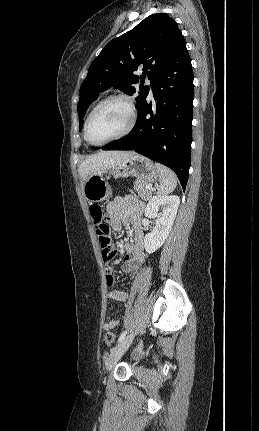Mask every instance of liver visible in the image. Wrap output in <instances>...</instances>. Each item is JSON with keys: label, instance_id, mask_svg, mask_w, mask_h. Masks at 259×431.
Here are the masks:
<instances>
[{"label": "liver", "instance_id": "6515ba94", "mask_svg": "<svg viewBox=\"0 0 259 431\" xmlns=\"http://www.w3.org/2000/svg\"><path fill=\"white\" fill-rule=\"evenodd\" d=\"M134 154L133 151H101L89 156L80 164L78 169L82 187L90 176L101 174Z\"/></svg>", "mask_w": 259, "mask_h": 431}]
</instances>
